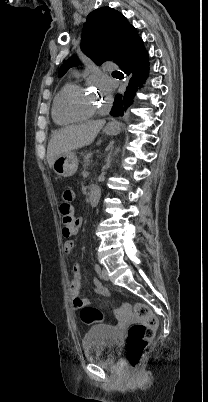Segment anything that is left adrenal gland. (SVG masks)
<instances>
[{
  "instance_id": "left-adrenal-gland-1",
  "label": "left adrenal gland",
  "mask_w": 208,
  "mask_h": 402,
  "mask_svg": "<svg viewBox=\"0 0 208 402\" xmlns=\"http://www.w3.org/2000/svg\"><path fill=\"white\" fill-rule=\"evenodd\" d=\"M110 148L111 150L107 156L106 164L105 166H103V170H108V168H110L112 162V156H117L118 152H120V148H116L115 152L113 146H110Z\"/></svg>"
}]
</instances>
